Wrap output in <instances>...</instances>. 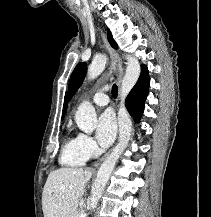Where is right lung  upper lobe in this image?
Returning a JSON list of instances; mask_svg holds the SVG:
<instances>
[{
    "instance_id": "right-lung-upper-lobe-1",
    "label": "right lung upper lobe",
    "mask_w": 211,
    "mask_h": 217,
    "mask_svg": "<svg viewBox=\"0 0 211 217\" xmlns=\"http://www.w3.org/2000/svg\"><path fill=\"white\" fill-rule=\"evenodd\" d=\"M66 108H67V95L65 96V101H64V106H63V113H65Z\"/></svg>"
}]
</instances>
